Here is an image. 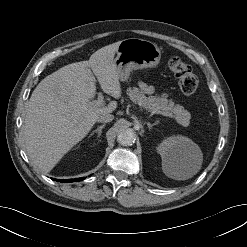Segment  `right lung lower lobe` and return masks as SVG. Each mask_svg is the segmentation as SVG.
<instances>
[{
    "label": "right lung lower lobe",
    "instance_id": "obj_1",
    "mask_svg": "<svg viewBox=\"0 0 247 247\" xmlns=\"http://www.w3.org/2000/svg\"><path fill=\"white\" fill-rule=\"evenodd\" d=\"M84 179H85V177L76 178V179H69V180H57V181L66 183V182H77V181H81V180H84Z\"/></svg>",
    "mask_w": 247,
    "mask_h": 247
}]
</instances>
